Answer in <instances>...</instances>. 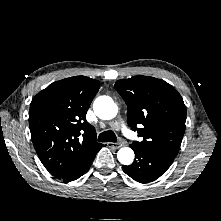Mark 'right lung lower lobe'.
Listing matches in <instances>:
<instances>
[{
    "label": "right lung lower lobe",
    "mask_w": 221,
    "mask_h": 221,
    "mask_svg": "<svg viewBox=\"0 0 221 221\" xmlns=\"http://www.w3.org/2000/svg\"><path fill=\"white\" fill-rule=\"evenodd\" d=\"M95 158V155L90 158L81 168H79L77 171L73 172L72 174L70 175H67L61 179H63L64 181L66 182H70V181H73V180H76L78 179L79 177H81L82 175H84L88 169L90 168L93 160Z\"/></svg>",
    "instance_id": "right-lung-lower-lobe-1"
}]
</instances>
